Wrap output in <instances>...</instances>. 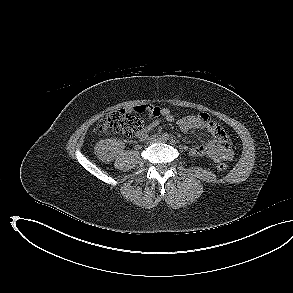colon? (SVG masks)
<instances>
[{
    "label": "colon",
    "instance_id": "colon-1",
    "mask_svg": "<svg viewBox=\"0 0 293 293\" xmlns=\"http://www.w3.org/2000/svg\"><path fill=\"white\" fill-rule=\"evenodd\" d=\"M143 128V120L125 110H116L110 112L98 124V130L102 133L119 134L131 137ZM219 171H226L228 165L220 162L216 164Z\"/></svg>",
    "mask_w": 293,
    "mask_h": 293
}]
</instances>
